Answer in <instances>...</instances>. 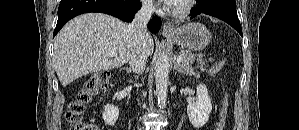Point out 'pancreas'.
I'll list each match as a JSON object with an SVG mask.
<instances>
[{
  "instance_id": "cf45deb5",
  "label": "pancreas",
  "mask_w": 299,
  "mask_h": 130,
  "mask_svg": "<svg viewBox=\"0 0 299 130\" xmlns=\"http://www.w3.org/2000/svg\"><path fill=\"white\" fill-rule=\"evenodd\" d=\"M179 55H182V60H181V69L188 72V73H193V63L195 62L196 58H197V62H198V68L204 70V65H205V60L202 58V55H198L197 57L192 54L189 51H185V50H181L179 52ZM212 61V60H210Z\"/></svg>"
}]
</instances>
